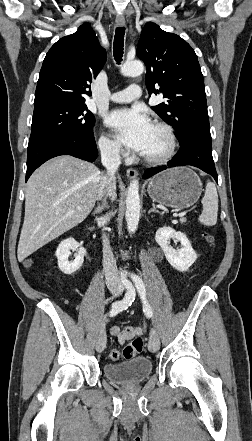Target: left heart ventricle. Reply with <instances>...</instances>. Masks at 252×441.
<instances>
[{"label":"left heart ventricle","instance_id":"1","mask_svg":"<svg viewBox=\"0 0 252 441\" xmlns=\"http://www.w3.org/2000/svg\"><path fill=\"white\" fill-rule=\"evenodd\" d=\"M168 148V141L160 129L153 126L148 145L143 153L146 156H160Z\"/></svg>","mask_w":252,"mask_h":441}]
</instances>
